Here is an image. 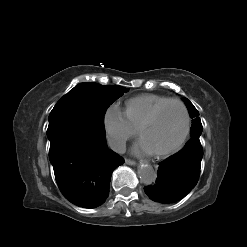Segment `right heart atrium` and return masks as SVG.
Returning a JSON list of instances; mask_svg holds the SVG:
<instances>
[{
	"label": "right heart atrium",
	"mask_w": 247,
	"mask_h": 247,
	"mask_svg": "<svg viewBox=\"0 0 247 247\" xmlns=\"http://www.w3.org/2000/svg\"><path fill=\"white\" fill-rule=\"evenodd\" d=\"M103 124L108 143L116 152L123 151L127 141L136 135V130L129 125L124 112L117 106H111L105 111Z\"/></svg>",
	"instance_id": "right-heart-atrium-1"
}]
</instances>
